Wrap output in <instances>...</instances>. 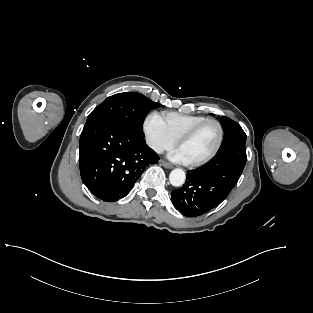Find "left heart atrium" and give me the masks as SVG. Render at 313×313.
Returning a JSON list of instances; mask_svg holds the SVG:
<instances>
[{"label": "left heart atrium", "mask_w": 313, "mask_h": 313, "mask_svg": "<svg viewBox=\"0 0 313 313\" xmlns=\"http://www.w3.org/2000/svg\"><path fill=\"white\" fill-rule=\"evenodd\" d=\"M169 158L175 162H178V163L186 164L189 162L188 159L186 158V156L184 155V153L179 148L172 151L169 154Z\"/></svg>", "instance_id": "1"}]
</instances>
